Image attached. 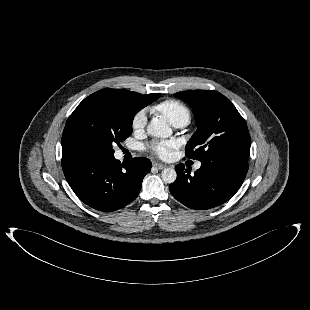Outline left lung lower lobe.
<instances>
[{
	"label": "left lung lower lobe",
	"instance_id": "0a47b994",
	"mask_svg": "<svg viewBox=\"0 0 310 310\" xmlns=\"http://www.w3.org/2000/svg\"><path fill=\"white\" fill-rule=\"evenodd\" d=\"M248 171V162L218 159L201 162L190 175L183 164L176 166L177 179L170 184L171 194L192 209L205 210L228 201L241 187Z\"/></svg>",
	"mask_w": 310,
	"mask_h": 310
}]
</instances>
